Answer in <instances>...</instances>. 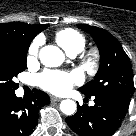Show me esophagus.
Masks as SVG:
<instances>
[{
  "label": "esophagus",
  "instance_id": "1",
  "mask_svg": "<svg viewBox=\"0 0 136 136\" xmlns=\"http://www.w3.org/2000/svg\"><path fill=\"white\" fill-rule=\"evenodd\" d=\"M50 99H51L52 102H59V101L62 100L61 98H58V97H55V96H51Z\"/></svg>",
  "mask_w": 136,
  "mask_h": 136
}]
</instances>
